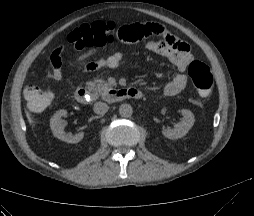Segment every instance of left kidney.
I'll use <instances>...</instances> for the list:
<instances>
[{
	"mask_svg": "<svg viewBox=\"0 0 254 216\" xmlns=\"http://www.w3.org/2000/svg\"><path fill=\"white\" fill-rule=\"evenodd\" d=\"M181 114L183 115V119L181 122L177 124V126L173 129H164L162 134L171 140H175L185 136L191 127L194 125L195 117L194 114L187 109H182Z\"/></svg>",
	"mask_w": 254,
	"mask_h": 216,
	"instance_id": "left-kidney-1",
	"label": "left kidney"
}]
</instances>
